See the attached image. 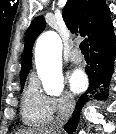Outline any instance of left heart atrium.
Wrapping results in <instances>:
<instances>
[{"mask_svg": "<svg viewBox=\"0 0 116 134\" xmlns=\"http://www.w3.org/2000/svg\"><path fill=\"white\" fill-rule=\"evenodd\" d=\"M87 79L82 70L76 69L68 75V86L73 93H80L85 89Z\"/></svg>", "mask_w": 116, "mask_h": 134, "instance_id": "left-heart-atrium-1", "label": "left heart atrium"}]
</instances>
